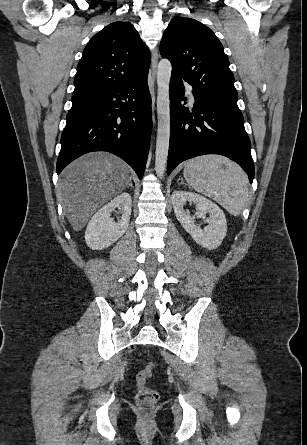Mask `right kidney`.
<instances>
[{"label": "right kidney", "instance_id": "ca27d5eb", "mask_svg": "<svg viewBox=\"0 0 307 445\" xmlns=\"http://www.w3.org/2000/svg\"><path fill=\"white\" fill-rule=\"evenodd\" d=\"M131 202V194L122 192V194L115 196L111 202L104 204L100 210H97L96 214L89 220L85 231V241L90 249H93V251L107 249L126 233L131 214ZM114 208H119L122 212L118 223H114L113 218H110V212Z\"/></svg>", "mask_w": 307, "mask_h": 445}]
</instances>
